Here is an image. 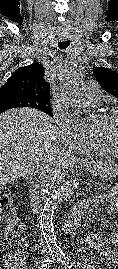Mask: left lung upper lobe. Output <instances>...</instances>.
Wrapping results in <instances>:
<instances>
[{"mask_svg": "<svg viewBox=\"0 0 118 269\" xmlns=\"http://www.w3.org/2000/svg\"><path fill=\"white\" fill-rule=\"evenodd\" d=\"M93 74L102 88L118 98V74L111 69L97 67Z\"/></svg>", "mask_w": 118, "mask_h": 269, "instance_id": "1", "label": "left lung upper lobe"}]
</instances>
